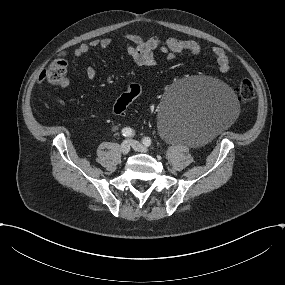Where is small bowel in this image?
Segmentation results:
<instances>
[{"mask_svg":"<svg viewBox=\"0 0 285 285\" xmlns=\"http://www.w3.org/2000/svg\"><path fill=\"white\" fill-rule=\"evenodd\" d=\"M123 38L127 40L126 52L132 64L140 68H153L157 65L155 52L159 51L168 60H173L177 55L182 53H190L199 55L203 51L202 45L195 40H181L178 38H168L162 41L157 35H151L144 38L137 34H125ZM112 38H97L87 43H82L73 51L74 56L82 57L92 49H106L111 46ZM212 55L215 57L218 68L225 73L230 70L229 58L225 50L221 47H213ZM86 80L91 82L96 76V70L93 66H87ZM45 73L40 76L39 82L45 79ZM70 85V79L64 77L58 84L59 89H66Z\"/></svg>","mask_w":285,"mask_h":285,"instance_id":"1","label":"small bowel"}]
</instances>
